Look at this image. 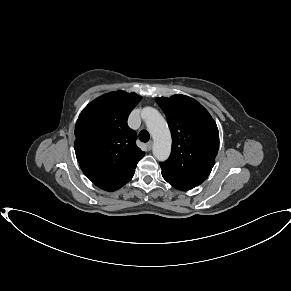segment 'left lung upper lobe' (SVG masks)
Here are the masks:
<instances>
[{
	"label": "left lung upper lobe",
	"mask_w": 291,
	"mask_h": 291,
	"mask_svg": "<svg viewBox=\"0 0 291 291\" xmlns=\"http://www.w3.org/2000/svg\"><path fill=\"white\" fill-rule=\"evenodd\" d=\"M164 111L172 135V150L161 162L162 174L195 187L210 174L219 148V132L208 111L185 95L155 99Z\"/></svg>",
	"instance_id": "left-lung-upper-lobe-1"
}]
</instances>
